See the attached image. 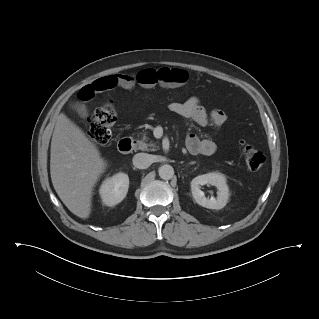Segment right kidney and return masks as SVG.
Returning a JSON list of instances; mask_svg holds the SVG:
<instances>
[{
  "label": "right kidney",
  "instance_id": "right-kidney-1",
  "mask_svg": "<svg viewBox=\"0 0 319 319\" xmlns=\"http://www.w3.org/2000/svg\"><path fill=\"white\" fill-rule=\"evenodd\" d=\"M129 188V177L125 173H117L105 179L99 193L103 204L114 206L120 203L126 196Z\"/></svg>",
  "mask_w": 319,
  "mask_h": 319
}]
</instances>
